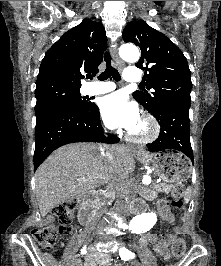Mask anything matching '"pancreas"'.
I'll return each mask as SVG.
<instances>
[{
	"instance_id": "cf45deb5",
	"label": "pancreas",
	"mask_w": 221,
	"mask_h": 266,
	"mask_svg": "<svg viewBox=\"0 0 221 266\" xmlns=\"http://www.w3.org/2000/svg\"><path fill=\"white\" fill-rule=\"evenodd\" d=\"M156 191L159 193H166V194H169L172 190V186L171 185H168V184H165V183H162L160 185H157L156 187ZM111 198V194L108 193L107 195H105L100 202H98V206H101V205H104L107 201H109V199Z\"/></svg>"
}]
</instances>
